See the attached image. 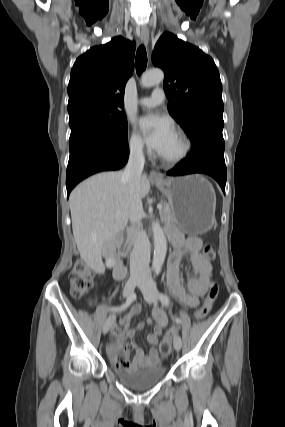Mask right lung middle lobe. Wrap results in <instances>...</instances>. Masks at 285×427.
Masks as SVG:
<instances>
[{
  "instance_id": "obj_1",
  "label": "right lung middle lobe",
  "mask_w": 285,
  "mask_h": 427,
  "mask_svg": "<svg viewBox=\"0 0 285 427\" xmlns=\"http://www.w3.org/2000/svg\"><path fill=\"white\" fill-rule=\"evenodd\" d=\"M69 149L88 137H99L114 144L127 142V119L119 109H85L69 115Z\"/></svg>"
}]
</instances>
